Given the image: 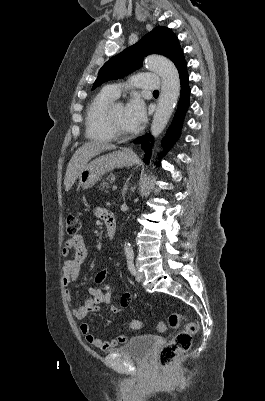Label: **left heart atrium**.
Listing matches in <instances>:
<instances>
[{"label": "left heart atrium", "mask_w": 265, "mask_h": 401, "mask_svg": "<svg viewBox=\"0 0 265 401\" xmlns=\"http://www.w3.org/2000/svg\"><path fill=\"white\" fill-rule=\"evenodd\" d=\"M125 120L131 130L138 129L146 119V110L143 101L138 98H132L125 107Z\"/></svg>", "instance_id": "obj_1"}]
</instances>
